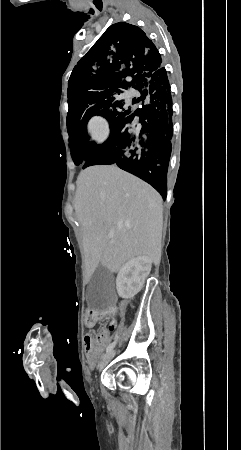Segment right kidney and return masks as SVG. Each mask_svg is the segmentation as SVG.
Returning <instances> with one entry per match:
<instances>
[{
  "label": "right kidney",
  "instance_id": "right-kidney-1",
  "mask_svg": "<svg viewBox=\"0 0 241 450\" xmlns=\"http://www.w3.org/2000/svg\"><path fill=\"white\" fill-rule=\"evenodd\" d=\"M152 268L151 258L137 256L126 262L118 272L116 288L118 296L130 300L143 288V284L149 276Z\"/></svg>",
  "mask_w": 241,
  "mask_h": 450
}]
</instances>
